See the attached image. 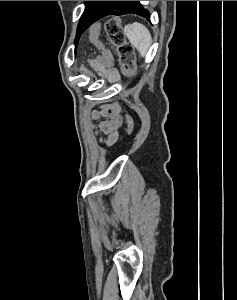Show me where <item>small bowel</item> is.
<instances>
[{
	"label": "small bowel",
	"mask_w": 237,
	"mask_h": 300,
	"mask_svg": "<svg viewBox=\"0 0 237 300\" xmlns=\"http://www.w3.org/2000/svg\"><path fill=\"white\" fill-rule=\"evenodd\" d=\"M93 67L97 74L108 83L116 84L119 81V73L115 68L111 66L101 67L95 62L93 63ZM91 117L93 121L104 118L100 122L96 133L107 135V139L105 140L107 145L114 144L118 139L119 129L122 125V117L119 114L118 105L116 103L101 105L99 109L93 111Z\"/></svg>",
	"instance_id": "c3829d8e"
}]
</instances>
